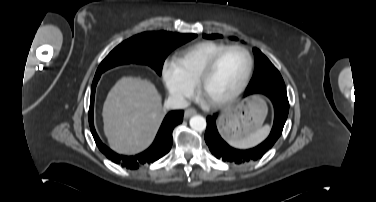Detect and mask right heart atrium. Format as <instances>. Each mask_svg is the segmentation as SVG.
<instances>
[{
  "label": "right heart atrium",
  "mask_w": 376,
  "mask_h": 202,
  "mask_svg": "<svg viewBox=\"0 0 376 202\" xmlns=\"http://www.w3.org/2000/svg\"><path fill=\"white\" fill-rule=\"evenodd\" d=\"M164 87L168 95L179 103H184L195 92V86L182 74L174 59H166L161 67Z\"/></svg>",
  "instance_id": "1"
}]
</instances>
